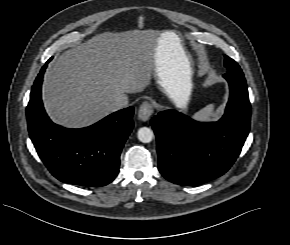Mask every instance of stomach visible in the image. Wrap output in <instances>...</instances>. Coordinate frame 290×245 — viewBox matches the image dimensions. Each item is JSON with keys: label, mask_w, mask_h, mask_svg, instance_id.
Listing matches in <instances>:
<instances>
[{"label": "stomach", "mask_w": 290, "mask_h": 245, "mask_svg": "<svg viewBox=\"0 0 290 245\" xmlns=\"http://www.w3.org/2000/svg\"><path fill=\"white\" fill-rule=\"evenodd\" d=\"M154 77L156 79L157 84L160 86V88L169 96V94L167 93L166 86H165V78L163 75V70L159 64H157ZM191 89H192V84H191L190 89H187L185 86L181 87L179 95H178V100L175 102L177 107H180L182 109L186 108V105H187V102L189 100V96L191 93Z\"/></svg>", "instance_id": "1"}]
</instances>
